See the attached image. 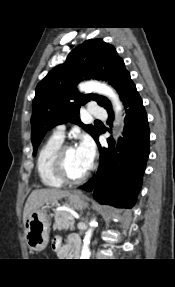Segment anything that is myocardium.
<instances>
[{
    "mask_svg": "<svg viewBox=\"0 0 175 287\" xmlns=\"http://www.w3.org/2000/svg\"><path fill=\"white\" fill-rule=\"evenodd\" d=\"M75 148L73 144L64 143L61 144L56 152L54 153L52 160V168L55 176L64 183L68 184H78L84 181L90 174L91 166L80 176L73 178L69 176L66 172L64 165V157L67 150Z\"/></svg>",
    "mask_w": 175,
    "mask_h": 287,
    "instance_id": "myocardium-1",
    "label": "myocardium"
}]
</instances>
